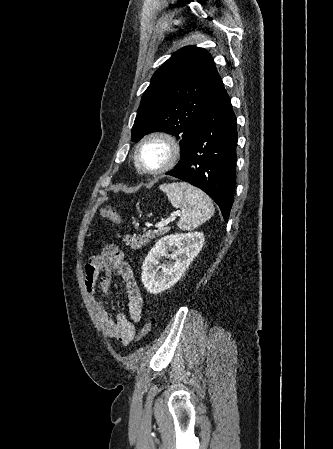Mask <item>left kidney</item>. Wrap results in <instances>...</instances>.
Wrapping results in <instances>:
<instances>
[{"instance_id": "left-kidney-1", "label": "left kidney", "mask_w": 333, "mask_h": 449, "mask_svg": "<svg viewBox=\"0 0 333 449\" xmlns=\"http://www.w3.org/2000/svg\"><path fill=\"white\" fill-rule=\"evenodd\" d=\"M203 244V232L171 234L158 240L142 265V282L147 291L158 294L178 282ZM163 257L170 258L171 261L159 265V260Z\"/></svg>"}]
</instances>
